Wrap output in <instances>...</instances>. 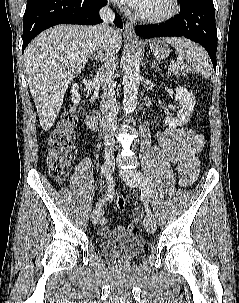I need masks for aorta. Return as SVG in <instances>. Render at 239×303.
<instances>
[{"label":"aorta","instance_id":"1","mask_svg":"<svg viewBox=\"0 0 239 303\" xmlns=\"http://www.w3.org/2000/svg\"><path fill=\"white\" fill-rule=\"evenodd\" d=\"M140 64V57L136 53L129 55L126 60L123 77V109L126 115L133 113L138 103L137 95L141 79Z\"/></svg>","mask_w":239,"mask_h":303}]
</instances>
